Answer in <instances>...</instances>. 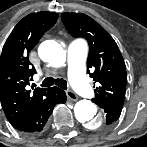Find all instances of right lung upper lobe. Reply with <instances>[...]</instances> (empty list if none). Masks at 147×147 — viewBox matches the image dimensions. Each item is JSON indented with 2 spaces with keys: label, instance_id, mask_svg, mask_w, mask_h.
I'll return each instance as SVG.
<instances>
[{
  "label": "right lung upper lobe",
  "instance_id": "obj_1",
  "mask_svg": "<svg viewBox=\"0 0 147 147\" xmlns=\"http://www.w3.org/2000/svg\"><path fill=\"white\" fill-rule=\"evenodd\" d=\"M58 14L41 11L24 17L6 40L0 56V101L10 123L27 115L50 88L28 89L34 66L28 55L42 35L56 23Z\"/></svg>",
  "mask_w": 147,
  "mask_h": 147
}]
</instances>
